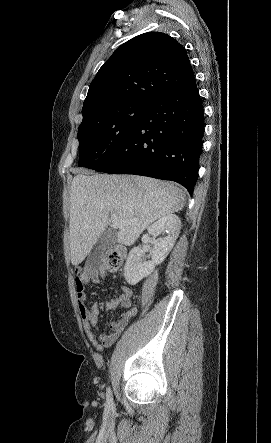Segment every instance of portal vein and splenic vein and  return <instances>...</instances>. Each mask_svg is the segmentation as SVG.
Segmentation results:
<instances>
[{
    "mask_svg": "<svg viewBox=\"0 0 271 443\" xmlns=\"http://www.w3.org/2000/svg\"><path fill=\"white\" fill-rule=\"evenodd\" d=\"M111 222L113 223V225H116V223H119V220H118L117 216H115V214H111Z\"/></svg>",
    "mask_w": 271,
    "mask_h": 443,
    "instance_id": "18ae733b",
    "label": "portal vein and splenic vein"
}]
</instances>
